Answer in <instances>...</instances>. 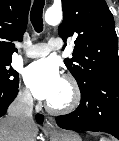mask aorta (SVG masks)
<instances>
[{
  "label": "aorta",
  "mask_w": 119,
  "mask_h": 141,
  "mask_svg": "<svg viewBox=\"0 0 119 141\" xmlns=\"http://www.w3.org/2000/svg\"><path fill=\"white\" fill-rule=\"evenodd\" d=\"M62 20L61 9L49 8L45 13V21L49 25H57Z\"/></svg>",
  "instance_id": "762f6f07"
}]
</instances>
